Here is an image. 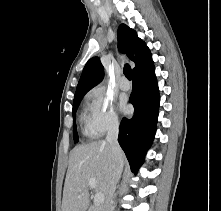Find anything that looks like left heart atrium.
Wrapping results in <instances>:
<instances>
[{"label":"left heart atrium","mask_w":221,"mask_h":211,"mask_svg":"<svg viewBox=\"0 0 221 211\" xmlns=\"http://www.w3.org/2000/svg\"><path fill=\"white\" fill-rule=\"evenodd\" d=\"M120 110L124 113L129 111V106L124 99H122L119 103Z\"/></svg>","instance_id":"obj_1"}]
</instances>
